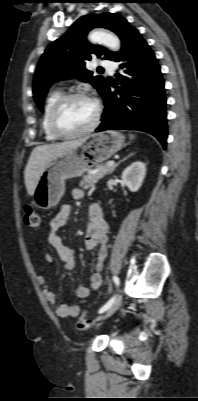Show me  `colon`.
Masks as SVG:
<instances>
[{
  "instance_id": "5ec220e1",
  "label": "colon",
  "mask_w": 198,
  "mask_h": 401,
  "mask_svg": "<svg viewBox=\"0 0 198 401\" xmlns=\"http://www.w3.org/2000/svg\"><path fill=\"white\" fill-rule=\"evenodd\" d=\"M40 223H41L40 214L35 209L27 207L25 209V224L31 228H38L40 226ZM90 322L91 319L86 313L82 315L79 321L80 324H86Z\"/></svg>"
}]
</instances>
